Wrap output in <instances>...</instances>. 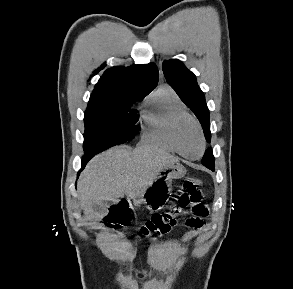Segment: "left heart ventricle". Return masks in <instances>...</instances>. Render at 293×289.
Returning <instances> with one entry per match:
<instances>
[{"label": "left heart ventricle", "instance_id": "1", "mask_svg": "<svg viewBox=\"0 0 293 289\" xmlns=\"http://www.w3.org/2000/svg\"><path fill=\"white\" fill-rule=\"evenodd\" d=\"M179 142L182 150L189 156H198L201 151V139L193 122L182 125L179 132Z\"/></svg>", "mask_w": 293, "mask_h": 289}]
</instances>
